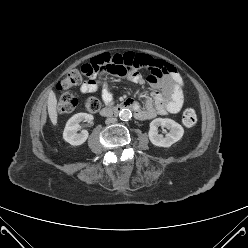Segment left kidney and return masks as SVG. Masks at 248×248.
Returning <instances> with one entry per match:
<instances>
[{
	"mask_svg": "<svg viewBox=\"0 0 248 248\" xmlns=\"http://www.w3.org/2000/svg\"><path fill=\"white\" fill-rule=\"evenodd\" d=\"M165 127L169 133L165 137L158 134V127ZM184 134L183 127L169 118H156L150 123L149 139L152 144L159 147H170L175 142L179 141Z\"/></svg>",
	"mask_w": 248,
	"mask_h": 248,
	"instance_id": "left-kidney-1",
	"label": "left kidney"
}]
</instances>
